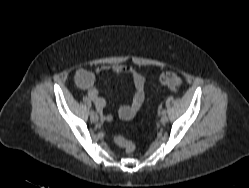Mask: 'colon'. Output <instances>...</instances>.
<instances>
[{
  "mask_svg": "<svg viewBox=\"0 0 249 188\" xmlns=\"http://www.w3.org/2000/svg\"><path fill=\"white\" fill-rule=\"evenodd\" d=\"M160 82L171 89H177L181 85L180 77L172 71L163 72L160 76ZM113 142L123 147L127 153L134 151V144L124 137L116 136L113 138Z\"/></svg>",
  "mask_w": 249,
  "mask_h": 188,
  "instance_id": "colon-1",
  "label": "colon"
}]
</instances>
